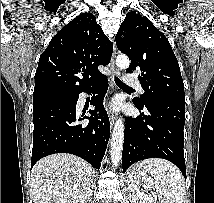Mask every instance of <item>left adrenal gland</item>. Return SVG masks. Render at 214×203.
<instances>
[{
	"mask_svg": "<svg viewBox=\"0 0 214 203\" xmlns=\"http://www.w3.org/2000/svg\"><path fill=\"white\" fill-rule=\"evenodd\" d=\"M131 192L129 191V195H128V198H129V200H131Z\"/></svg>",
	"mask_w": 214,
	"mask_h": 203,
	"instance_id": "1",
	"label": "left adrenal gland"
}]
</instances>
